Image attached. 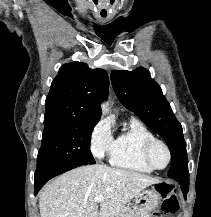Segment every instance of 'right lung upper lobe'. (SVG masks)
<instances>
[{"mask_svg": "<svg viewBox=\"0 0 211 217\" xmlns=\"http://www.w3.org/2000/svg\"><path fill=\"white\" fill-rule=\"evenodd\" d=\"M108 76L103 69H90L82 62L60 67L46 98L44 120L75 118L99 121L100 100L106 97Z\"/></svg>", "mask_w": 211, "mask_h": 217, "instance_id": "right-lung-upper-lobe-1", "label": "right lung upper lobe"}]
</instances>
